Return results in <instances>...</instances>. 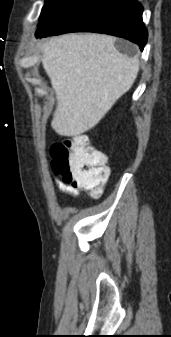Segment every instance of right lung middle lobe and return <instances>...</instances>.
I'll use <instances>...</instances> for the list:
<instances>
[{"label":"right lung middle lobe","instance_id":"obj_1","mask_svg":"<svg viewBox=\"0 0 171 337\" xmlns=\"http://www.w3.org/2000/svg\"><path fill=\"white\" fill-rule=\"evenodd\" d=\"M71 0H46L42 9L38 27L46 24L58 15Z\"/></svg>","mask_w":171,"mask_h":337}]
</instances>
